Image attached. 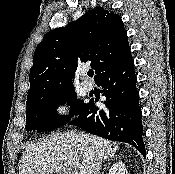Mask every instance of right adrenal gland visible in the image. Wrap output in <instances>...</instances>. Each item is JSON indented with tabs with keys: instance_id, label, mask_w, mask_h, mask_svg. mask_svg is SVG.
<instances>
[{
	"instance_id": "2a0ac1e0",
	"label": "right adrenal gland",
	"mask_w": 175,
	"mask_h": 174,
	"mask_svg": "<svg viewBox=\"0 0 175 174\" xmlns=\"http://www.w3.org/2000/svg\"><path fill=\"white\" fill-rule=\"evenodd\" d=\"M114 158H117V156L111 157V159H114ZM111 159H107L106 162L104 163V168H103L102 174H104V171H105V169H106V166H107V164L110 162Z\"/></svg>"
}]
</instances>
